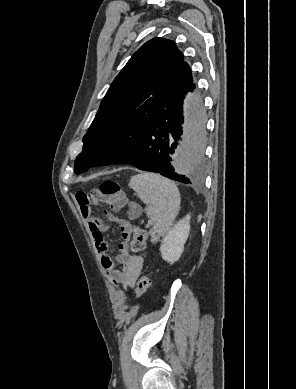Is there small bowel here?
Instances as JSON below:
<instances>
[{
    "mask_svg": "<svg viewBox=\"0 0 296 389\" xmlns=\"http://www.w3.org/2000/svg\"><path fill=\"white\" fill-rule=\"evenodd\" d=\"M76 199L81 215L94 238L102 266L108 277L115 285L122 286L124 289L134 287L143 267V259L140 256L131 254L129 251L128 241L132 231L130 220L118 218L114 214V211H118L124 206V200L116 206H111L112 211L106 212L108 220L119 225L122 237V241L118 245V255L116 256V262L120 265V268H117L115 262L108 255V243L104 238V232L108 230L109 225L96 218L92 212V205L99 204L103 200L97 193L89 195L83 192L78 193ZM135 213L136 209L131 208L129 216L133 217Z\"/></svg>",
    "mask_w": 296,
    "mask_h": 389,
    "instance_id": "obj_1",
    "label": "small bowel"
}]
</instances>
